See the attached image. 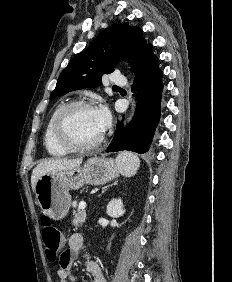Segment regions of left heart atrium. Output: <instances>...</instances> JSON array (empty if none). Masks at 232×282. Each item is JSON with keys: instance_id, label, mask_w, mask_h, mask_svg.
<instances>
[{"instance_id": "39dd6f15", "label": "left heart atrium", "mask_w": 232, "mask_h": 282, "mask_svg": "<svg viewBox=\"0 0 232 282\" xmlns=\"http://www.w3.org/2000/svg\"><path fill=\"white\" fill-rule=\"evenodd\" d=\"M95 112L100 128L104 132L111 121L109 110L106 106L101 105L97 109H95Z\"/></svg>"}]
</instances>
